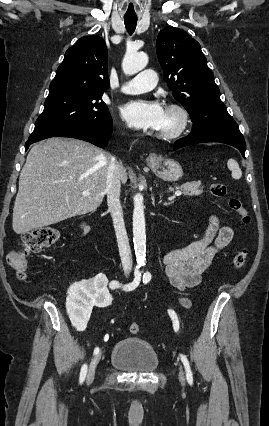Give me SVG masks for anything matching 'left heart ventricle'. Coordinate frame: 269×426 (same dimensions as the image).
I'll use <instances>...</instances> for the list:
<instances>
[{"instance_id":"obj_1","label":"left heart ventricle","mask_w":269,"mask_h":426,"mask_svg":"<svg viewBox=\"0 0 269 426\" xmlns=\"http://www.w3.org/2000/svg\"><path fill=\"white\" fill-rule=\"evenodd\" d=\"M176 122H177L176 116L166 111L163 124L160 127L159 131L160 132L166 131L173 128L176 125Z\"/></svg>"}]
</instances>
